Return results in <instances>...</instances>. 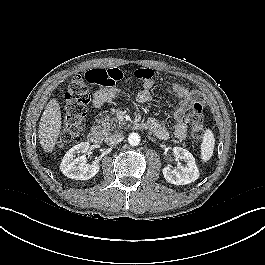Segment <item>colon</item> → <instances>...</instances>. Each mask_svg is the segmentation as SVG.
<instances>
[{"label": "colon", "instance_id": "obj_1", "mask_svg": "<svg viewBox=\"0 0 265 265\" xmlns=\"http://www.w3.org/2000/svg\"><path fill=\"white\" fill-rule=\"evenodd\" d=\"M119 73L117 70H91L85 77L74 76L68 83L63 93V127L59 136V146L66 147L72 144L81 134L85 123L87 105L90 101L88 84L110 86L115 83V77ZM152 76L150 69H137L134 77L144 80ZM188 122L192 135L201 138L204 133L205 116L201 103H195L189 114Z\"/></svg>", "mask_w": 265, "mask_h": 265}]
</instances>
